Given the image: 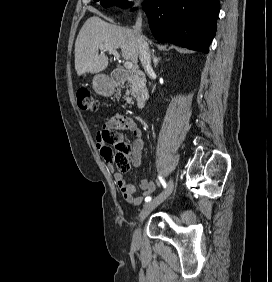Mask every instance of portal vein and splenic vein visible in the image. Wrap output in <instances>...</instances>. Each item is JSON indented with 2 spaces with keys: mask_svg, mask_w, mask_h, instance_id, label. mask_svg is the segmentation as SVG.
<instances>
[{
  "mask_svg": "<svg viewBox=\"0 0 272 282\" xmlns=\"http://www.w3.org/2000/svg\"><path fill=\"white\" fill-rule=\"evenodd\" d=\"M99 49L102 50V51H107V52H109L110 54H113L117 59H119V57H120V55L118 54V52H117L115 49H113V48H109V47H107V46H105V45H100V46H99ZM124 67H125L126 69H132V68H133V63L130 62V61H126V62L124 63Z\"/></svg>",
  "mask_w": 272,
  "mask_h": 282,
  "instance_id": "18ae733b",
  "label": "portal vein and splenic vein"
}]
</instances>
